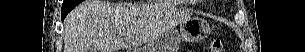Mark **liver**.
<instances>
[{"instance_id": "6515ba94", "label": "liver", "mask_w": 305, "mask_h": 52, "mask_svg": "<svg viewBox=\"0 0 305 52\" xmlns=\"http://www.w3.org/2000/svg\"><path fill=\"white\" fill-rule=\"evenodd\" d=\"M185 20L189 13L181 12ZM161 35L145 5L88 0L64 22V52H117L149 43Z\"/></svg>"}]
</instances>
